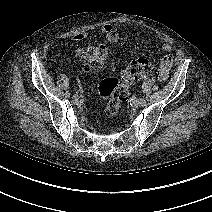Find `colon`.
Listing matches in <instances>:
<instances>
[{"instance_id": "obj_1", "label": "colon", "mask_w": 212, "mask_h": 212, "mask_svg": "<svg viewBox=\"0 0 212 212\" xmlns=\"http://www.w3.org/2000/svg\"><path fill=\"white\" fill-rule=\"evenodd\" d=\"M108 58V48L105 45H95L87 49L83 55L84 62L89 67L101 68ZM160 71L146 58H138L128 64L122 72L121 81L114 77L104 78L99 85L101 96L106 98V114L114 117L122 104L127 100L129 87L142 79L159 78Z\"/></svg>"}]
</instances>
